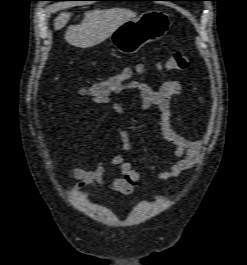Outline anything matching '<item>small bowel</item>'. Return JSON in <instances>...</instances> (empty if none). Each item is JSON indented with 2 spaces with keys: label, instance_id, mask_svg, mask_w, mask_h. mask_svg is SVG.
I'll list each match as a JSON object with an SVG mask.
<instances>
[{
  "label": "small bowel",
  "instance_id": "small-bowel-1",
  "mask_svg": "<svg viewBox=\"0 0 247 265\" xmlns=\"http://www.w3.org/2000/svg\"><path fill=\"white\" fill-rule=\"evenodd\" d=\"M135 90L141 98V109L149 110L156 108L159 112L160 126L163 137L175 146L174 157L176 161L165 159L160 165H150L149 172H155L159 166L170 165L169 169L161 170L156 173L159 180H168L179 176L182 172L192 168L198 161L202 141L189 139L174 128L172 124V105L171 100L175 96L184 94L183 85L176 80H167L157 89L142 81H130L125 83L119 93ZM117 114L124 112L123 106L115 101L107 104ZM119 134L124 144L123 149L128 146L130 141L129 133L124 128H119ZM80 150L78 142L73 143V152L77 154ZM108 166L119 169L121 176L107 177L106 170ZM73 178L78 180L75 191L84 188H91L97 193L98 188H106L121 193L122 195L131 196L138 187L139 181L143 178V171L135 169L128 162L124 154L113 156L108 162H99L94 167L86 169L74 166L71 169Z\"/></svg>",
  "mask_w": 247,
  "mask_h": 265
}]
</instances>
